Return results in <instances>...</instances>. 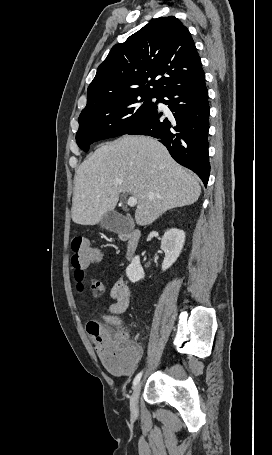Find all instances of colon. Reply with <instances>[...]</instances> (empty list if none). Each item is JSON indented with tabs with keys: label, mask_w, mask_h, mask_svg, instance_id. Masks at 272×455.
Masks as SVG:
<instances>
[{
	"label": "colon",
	"mask_w": 272,
	"mask_h": 455,
	"mask_svg": "<svg viewBox=\"0 0 272 455\" xmlns=\"http://www.w3.org/2000/svg\"><path fill=\"white\" fill-rule=\"evenodd\" d=\"M71 263L74 267L76 288L80 294L89 292L92 297L99 299L104 294L102 283L89 281L85 270L98 264L102 259L101 251L92 246L85 237H75L71 243ZM87 332L96 348L104 367L112 372L125 371L130 368L136 358V346L128 339L117 335L98 322L87 324Z\"/></svg>",
	"instance_id": "colon-1"
}]
</instances>
